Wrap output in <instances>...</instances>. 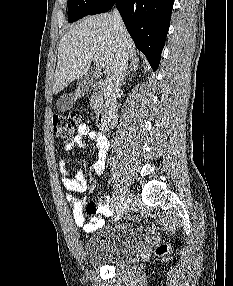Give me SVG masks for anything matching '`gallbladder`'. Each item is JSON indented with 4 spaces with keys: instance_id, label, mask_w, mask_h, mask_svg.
<instances>
[{
    "instance_id": "gallbladder-1",
    "label": "gallbladder",
    "mask_w": 233,
    "mask_h": 286,
    "mask_svg": "<svg viewBox=\"0 0 233 286\" xmlns=\"http://www.w3.org/2000/svg\"><path fill=\"white\" fill-rule=\"evenodd\" d=\"M96 84L97 77L92 72L82 75L77 79L74 93H65L57 100V108L63 111L71 109L75 101L88 93Z\"/></svg>"
}]
</instances>
